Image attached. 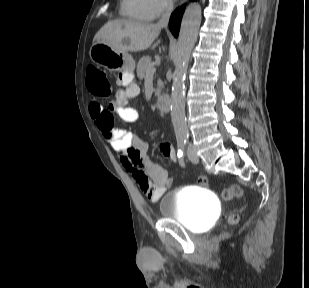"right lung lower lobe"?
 <instances>
[{"label": "right lung lower lobe", "instance_id": "1", "mask_svg": "<svg viewBox=\"0 0 309 288\" xmlns=\"http://www.w3.org/2000/svg\"><path fill=\"white\" fill-rule=\"evenodd\" d=\"M183 14V10L175 11L170 19L169 27L172 32V34L177 37L179 33V25L180 20Z\"/></svg>", "mask_w": 309, "mask_h": 288}]
</instances>
